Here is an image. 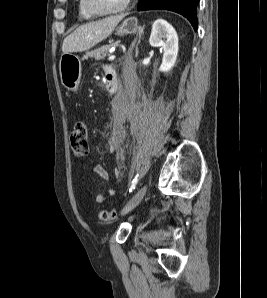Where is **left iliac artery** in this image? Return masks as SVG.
<instances>
[{"mask_svg": "<svg viewBox=\"0 0 267 298\" xmlns=\"http://www.w3.org/2000/svg\"><path fill=\"white\" fill-rule=\"evenodd\" d=\"M138 180H139V175L137 174L135 176V178L133 179V181H132V184L130 186L129 192H132L135 189V187H136V185L138 183Z\"/></svg>", "mask_w": 267, "mask_h": 298, "instance_id": "1", "label": "left iliac artery"}]
</instances>
